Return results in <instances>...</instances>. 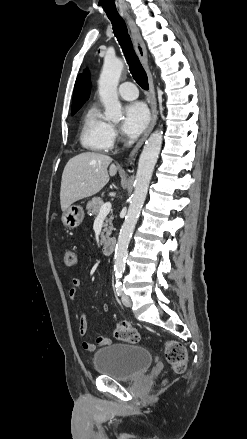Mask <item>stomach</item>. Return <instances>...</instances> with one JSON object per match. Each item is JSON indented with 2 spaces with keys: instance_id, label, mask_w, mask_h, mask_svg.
Segmentation results:
<instances>
[{
  "instance_id": "1",
  "label": "stomach",
  "mask_w": 247,
  "mask_h": 439,
  "mask_svg": "<svg viewBox=\"0 0 247 439\" xmlns=\"http://www.w3.org/2000/svg\"><path fill=\"white\" fill-rule=\"evenodd\" d=\"M84 219V211L81 206L71 205L63 211L61 220L64 226L68 228L78 227Z\"/></svg>"
}]
</instances>
